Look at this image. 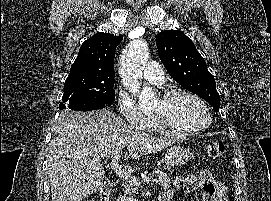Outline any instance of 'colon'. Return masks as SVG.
<instances>
[{"mask_svg":"<svg viewBox=\"0 0 271 201\" xmlns=\"http://www.w3.org/2000/svg\"><path fill=\"white\" fill-rule=\"evenodd\" d=\"M224 150H225V146L222 142H211L207 144L206 146L207 156L214 161H218L222 158L224 154ZM88 201H94V200L90 199Z\"/></svg>","mask_w":271,"mask_h":201,"instance_id":"1","label":"colon"}]
</instances>
